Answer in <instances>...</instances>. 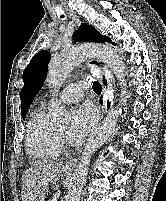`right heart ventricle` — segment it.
<instances>
[{"instance_id":"1","label":"right heart ventricle","mask_w":166,"mask_h":201,"mask_svg":"<svg viewBox=\"0 0 166 201\" xmlns=\"http://www.w3.org/2000/svg\"><path fill=\"white\" fill-rule=\"evenodd\" d=\"M26 151L35 164L55 160L62 152L56 129L42 108L35 110L28 121Z\"/></svg>"}]
</instances>
